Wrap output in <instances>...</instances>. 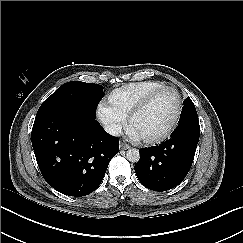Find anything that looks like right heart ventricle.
<instances>
[{"label": "right heart ventricle", "instance_id": "1", "mask_svg": "<svg viewBox=\"0 0 243 243\" xmlns=\"http://www.w3.org/2000/svg\"><path fill=\"white\" fill-rule=\"evenodd\" d=\"M165 87L162 82L154 80L128 84L111 94L109 107L123 119L128 117L143 99Z\"/></svg>", "mask_w": 243, "mask_h": 243}]
</instances>
